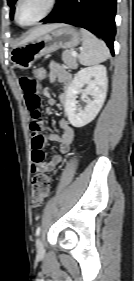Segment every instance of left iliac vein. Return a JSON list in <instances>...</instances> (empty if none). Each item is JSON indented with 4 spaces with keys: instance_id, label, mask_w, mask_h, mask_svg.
I'll list each match as a JSON object with an SVG mask.
<instances>
[{
    "instance_id": "4c4485c4",
    "label": "left iliac vein",
    "mask_w": 134,
    "mask_h": 281,
    "mask_svg": "<svg viewBox=\"0 0 134 281\" xmlns=\"http://www.w3.org/2000/svg\"><path fill=\"white\" fill-rule=\"evenodd\" d=\"M36 247H37V252L39 254H43L44 253L43 241L40 238L37 240Z\"/></svg>"
}]
</instances>
